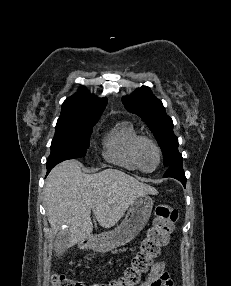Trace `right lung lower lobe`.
<instances>
[{"mask_svg": "<svg viewBox=\"0 0 231 286\" xmlns=\"http://www.w3.org/2000/svg\"><path fill=\"white\" fill-rule=\"evenodd\" d=\"M54 166V164H47V173H49Z\"/></svg>", "mask_w": 231, "mask_h": 286, "instance_id": "1", "label": "right lung lower lobe"}]
</instances>
